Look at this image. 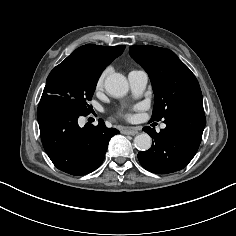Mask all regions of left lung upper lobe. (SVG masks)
I'll return each instance as SVG.
<instances>
[{
  "label": "left lung upper lobe",
  "instance_id": "1",
  "mask_svg": "<svg viewBox=\"0 0 236 236\" xmlns=\"http://www.w3.org/2000/svg\"><path fill=\"white\" fill-rule=\"evenodd\" d=\"M129 52L152 83L155 98L151 121H160L187 105L203 106L196 77L174 52L156 46H131Z\"/></svg>",
  "mask_w": 236,
  "mask_h": 236
}]
</instances>
